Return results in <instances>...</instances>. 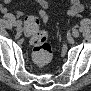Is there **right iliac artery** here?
<instances>
[{"label": "right iliac artery", "instance_id": "obj_1", "mask_svg": "<svg viewBox=\"0 0 91 91\" xmlns=\"http://www.w3.org/2000/svg\"><path fill=\"white\" fill-rule=\"evenodd\" d=\"M21 24H22V21L21 20H18V21L15 22V25L16 26H20Z\"/></svg>", "mask_w": 91, "mask_h": 91}]
</instances>
